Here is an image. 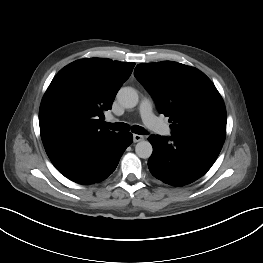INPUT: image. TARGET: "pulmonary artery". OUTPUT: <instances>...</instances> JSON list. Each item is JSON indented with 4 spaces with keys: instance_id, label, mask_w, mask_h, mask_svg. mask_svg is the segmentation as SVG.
<instances>
[{
    "instance_id": "obj_1",
    "label": "pulmonary artery",
    "mask_w": 263,
    "mask_h": 263,
    "mask_svg": "<svg viewBox=\"0 0 263 263\" xmlns=\"http://www.w3.org/2000/svg\"><path fill=\"white\" fill-rule=\"evenodd\" d=\"M139 112L143 122L152 130L157 131L162 135H170L171 129L159 120L152 110V104L150 100L144 99L140 103Z\"/></svg>"
}]
</instances>
